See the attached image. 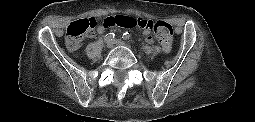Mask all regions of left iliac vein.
<instances>
[{
  "label": "left iliac vein",
  "mask_w": 255,
  "mask_h": 122,
  "mask_svg": "<svg viewBox=\"0 0 255 122\" xmlns=\"http://www.w3.org/2000/svg\"><path fill=\"white\" fill-rule=\"evenodd\" d=\"M113 44H114V45H117V46H122V45H124V43L122 42L121 39H116V40H114V41H113Z\"/></svg>",
  "instance_id": "obj_1"
}]
</instances>
